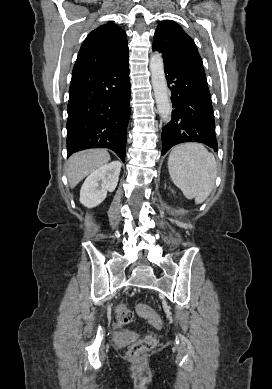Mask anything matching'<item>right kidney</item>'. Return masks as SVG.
<instances>
[{
    "label": "right kidney",
    "mask_w": 272,
    "mask_h": 389,
    "mask_svg": "<svg viewBox=\"0 0 272 389\" xmlns=\"http://www.w3.org/2000/svg\"><path fill=\"white\" fill-rule=\"evenodd\" d=\"M121 163L113 161L93 171L80 190V203L88 208L96 207L113 192L119 180Z\"/></svg>",
    "instance_id": "1"
}]
</instances>
